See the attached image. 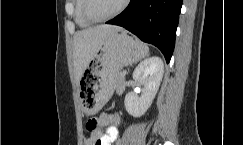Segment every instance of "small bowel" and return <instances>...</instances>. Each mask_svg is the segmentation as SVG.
Returning a JSON list of instances; mask_svg holds the SVG:
<instances>
[{
  "label": "small bowel",
  "mask_w": 243,
  "mask_h": 145,
  "mask_svg": "<svg viewBox=\"0 0 243 145\" xmlns=\"http://www.w3.org/2000/svg\"><path fill=\"white\" fill-rule=\"evenodd\" d=\"M98 124L99 127L90 132L85 145H112L119 135V117L114 113L104 112L98 116ZM101 126L107 127L105 133L101 131Z\"/></svg>",
  "instance_id": "1"
}]
</instances>
